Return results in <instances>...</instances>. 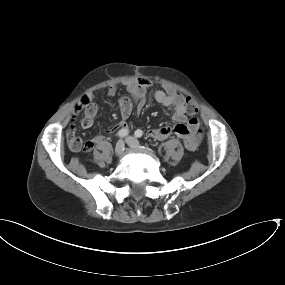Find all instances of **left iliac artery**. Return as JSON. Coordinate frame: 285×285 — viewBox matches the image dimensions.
Here are the masks:
<instances>
[{
	"label": "left iliac artery",
	"mask_w": 285,
	"mask_h": 285,
	"mask_svg": "<svg viewBox=\"0 0 285 285\" xmlns=\"http://www.w3.org/2000/svg\"><path fill=\"white\" fill-rule=\"evenodd\" d=\"M135 136L137 137V138H141L142 137V135H143V131L142 130H140V129H138V130H136L135 131Z\"/></svg>",
	"instance_id": "obj_1"
}]
</instances>
